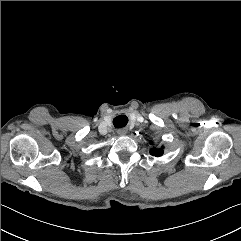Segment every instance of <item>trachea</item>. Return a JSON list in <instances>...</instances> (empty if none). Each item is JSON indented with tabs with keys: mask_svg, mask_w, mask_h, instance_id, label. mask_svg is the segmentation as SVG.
I'll return each instance as SVG.
<instances>
[{
	"mask_svg": "<svg viewBox=\"0 0 241 241\" xmlns=\"http://www.w3.org/2000/svg\"><path fill=\"white\" fill-rule=\"evenodd\" d=\"M128 122V118L124 115H119L114 118L113 124L116 128L124 127Z\"/></svg>",
	"mask_w": 241,
	"mask_h": 241,
	"instance_id": "3493384b",
	"label": "trachea"
}]
</instances>
